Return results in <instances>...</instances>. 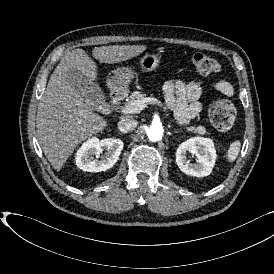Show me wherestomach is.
Wrapping results in <instances>:
<instances>
[{
    "label": "stomach",
    "instance_id": "0dacf381",
    "mask_svg": "<svg viewBox=\"0 0 274 274\" xmlns=\"http://www.w3.org/2000/svg\"><path fill=\"white\" fill-rule=\"evenodd\" d=\"M161 53L148 52L139 61L140 73L116 69L109 73L106 79V86L112 92L123 95L129 89V84L137 79L141 73L150 74L155 71L162 62Z\"/></svg>",
    "mask_w": 274,
    "mask_h": 274
}]
</instances>
